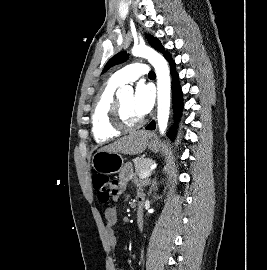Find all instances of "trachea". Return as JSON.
I'll return each mask as SVG.
<instances>
[{
  "label": "trachea",
  "instance_id": "1",
  "mask_svg": "<svg viewBox=\"0 0 267 270\" xmlns=\"http://www.w3.org/2000/svg\"><path fill=\"white\" fill-rule=\"evenodd\" d=\"M153 75H155V72L154 71H150L149 72V76H153Z\"/></svg>",
  "mask_w": 267,
  "mask_h": 270
}]
</instances>
